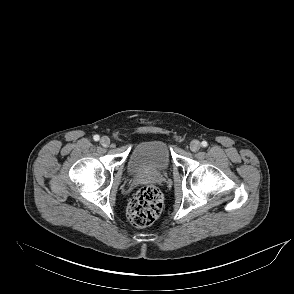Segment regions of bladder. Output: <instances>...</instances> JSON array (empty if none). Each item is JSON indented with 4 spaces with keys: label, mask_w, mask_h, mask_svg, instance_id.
<instances>
[{
    "label": "bladder",
    "mask_w": 294,
    "mask_h": 294,
    "mask_svg": "<svg viewBox=\"0 0 294 294\" xmlns=\"http://www.w3.org/2000/svg\"><path fill=\"white\" fill-rule=\"evenodd\" d=\"M172 156L167 143L160 139L142 141L131 150L128 169L134 175L163 173L169 169Z\"/></svg>",
    "instance_id": "31cf9c89"
}]
</instances>
